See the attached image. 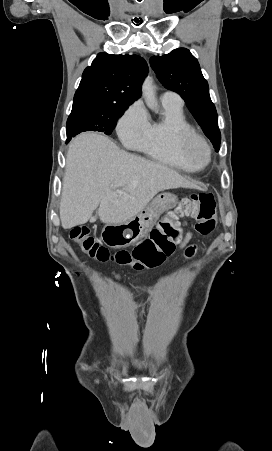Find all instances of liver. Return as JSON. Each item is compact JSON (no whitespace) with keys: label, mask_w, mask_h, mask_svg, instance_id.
<instances>
[{"label":"liver","mask_w":272,"mask_h":451,"mask_svg":"<svg viewBox=\"0 0 272 451\" xmlns=\"http://www.w3.org/2000/svg\"><path fill=\"white\" fill-rule=\"evenodd\" d=\"M170 188L197 186L168 166L120 150L106 136L79 134L67 152L59 208L62 227L96 222L97 216L103 224H122L139 214L158 192Z\"/></svg>","instance_id":"liver-1"}]
</instances>
